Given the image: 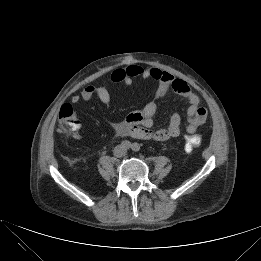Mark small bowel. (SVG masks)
<instances>
[{"label":"small bowel","instance_id":"c3829d8e","mask_svg":"<svg viewBox=\"0 0 261 261\" xmlns=\"http://www.w3.org/2000/svg\"><path fill=\"white\" fill-rule=\"evenodd\" d=\"M153 79L157 82L154 99L137 111L128 114L124 120L113 126L116 136L134 137L142 140L167 141L176 138L181 133V116L174 113L169 120V124L164 129L153 131L154 115L157 110L156 100L161 99L169 90L186 99L188 102L186 132L195 133L203 125L208 117V111L200 103L198 96L190 89L183 80L176 79L170 73L157 68H143L138 65H130L125 68H117L110 74V81L116 84L131 85L135 78ZM93 97H98L104 104H109L111 95L108 88L103 85H87L79 95L71 98L73 104L81 100L89 101Z\"/></svg>","mask_w":261,"mask_h":261}]
</instances>
